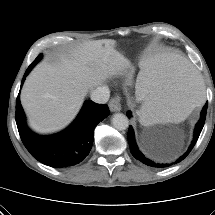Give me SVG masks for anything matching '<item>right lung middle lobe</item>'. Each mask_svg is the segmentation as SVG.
<instances>
[{"mask_svg":"<svg viewBox=\"0 0 215 215\" xmlns=\"http://www.w3.org/2000/svg\"><path fill=\"white\" fill-rule=\"evenodd\" d=\"M42 58V54H40L36 59L35 61L31 64L32 67H34Z\"/></svg>","mask_w":215,"mask_h":215,"instance_id":"right-lung-middle-lobe-1","label":"right lung middle lobe"}]
</instances>
